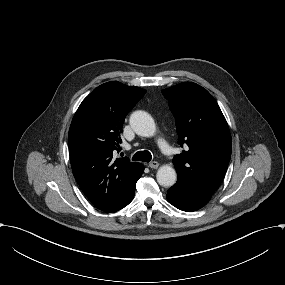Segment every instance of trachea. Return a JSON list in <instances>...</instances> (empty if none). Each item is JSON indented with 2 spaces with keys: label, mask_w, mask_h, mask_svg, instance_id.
<instances>
[{
  "label": "trachea",
  "mask_w": 285,
  "mask_h": 285,
  "mask_svg": "<svg viewBox=\"0 0 285 285\" xmlns=\"http://www.w3.org/2000/svg\"><path fill=\"white\" fill-rule=\"evenodd\" d=\"M152 159V155L149 151H138L134 154L132 160L133 161H143L150 162Z\"/></svg>",
  "instance_id": "3493384b"
}]
</instances>
